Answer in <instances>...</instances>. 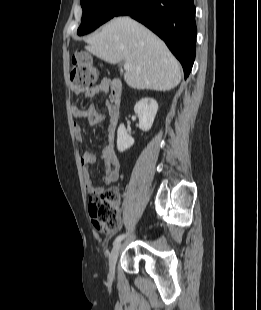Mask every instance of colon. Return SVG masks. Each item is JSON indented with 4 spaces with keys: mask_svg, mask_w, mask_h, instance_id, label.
<instances>
[{
    "mask_svg": "<svg viewBox=\"0 0 261 310\" xmlns=\"http://www.w3.org/2000/svg\"><path fill=\"white\" fill-rule=\"evenodd\" d=\"M98 77V70L88 54L77 53L72 57L70 81L74 88L90 87L98 80ZM118 203L119 194L114 188L107 189L89 199V213L97 230L109 234L119 228Z\"/></svg>",
    "mask_w": 261,
    "mask_h": 310,
    "instance_id": "colon-1",
    "label": "colon"
}]
</instances>
